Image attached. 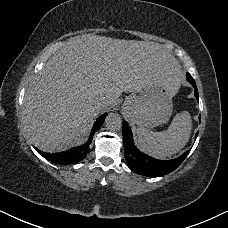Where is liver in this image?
Segmentation results:
<instances>
[{"mask_svg": "<svg viewBox=\"0 0 228 228\" xmlns=\"http://www.w3.org/2000/svg\"><path fill=\"white\" fill-rule=\"evenodd\" d=\"M184 79L179 61L160 44L73 37L29 84L23 100L27 135L41 151H66L84 142L94 119L114 107L122 92H138L158 81L175 95Z\"/></svg>", "mask_w": 228, "mask_h": 228, "instance_id": "6515ba94", "label": "liver"}]
</instances>
